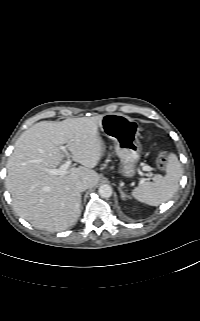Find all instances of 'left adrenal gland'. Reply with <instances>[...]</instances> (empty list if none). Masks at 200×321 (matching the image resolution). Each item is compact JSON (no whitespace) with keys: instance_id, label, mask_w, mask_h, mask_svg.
Instances as JSON below:
<instances>
[{"instance_id":"a2214340","label":"left adrenal gland","mask_w":200,"mask_h":321,"mask_svg":"<svg viewBox=\"0 0 200 321\" xmlns=\"http://www.w3.org/2000/svg\"><path fill=\"white\" fill-rule=\"evenodd\" d=\"M118 189H119L121 198H122L123 200H125L128 196L123 192V190L121 189V187H118Z\"/></svg>"}]
</instances>
